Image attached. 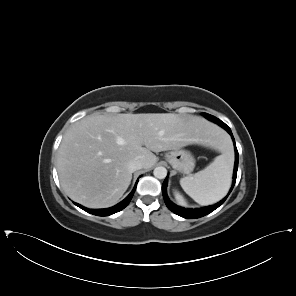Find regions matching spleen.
Here are the masks:
<instances>
[{
    "label": "spleen",
    "instance_id": "3e777b00",
    "mask_svg": "<svg viewBox=\"0 0 296 296\" xmlns=\"http://www.w3.org/2000/svg\"><path fill=\"white\" fill-rule=\"evenodd\" d=\"M214 147L222 154L205 169L180 179L183 190L198 204L210 205L221 200L231 184L233 158L230 144L218 139Z\"/></svg>",
    "mask_w": 296,
    "mask_h": 296
}]
</instances>
